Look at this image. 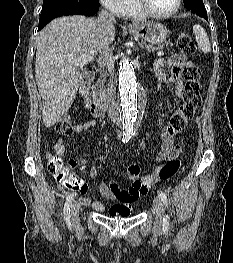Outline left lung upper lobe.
Returning a JSON list of instances; mask_svg holds the SVG:
<instances>
[{
	"instance_id": "5c2ea615",
	"label": "left lung upper lobe",
	"mask_w": 233,
	"mask_h": 263,
	"mask_svg": "<svg viewBox=\"0 0 233 263\" xmlns=\"http://www.w3.org/2000/svg\"><path fill=\"white\" fill-rule=\"evenodd\" d=\"M185 6L188 10L198 15L207 13L202 0H184Z\"/></svg>"
}]
</instances>
